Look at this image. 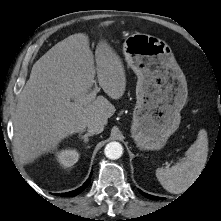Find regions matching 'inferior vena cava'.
Listing matches in <instances>:
<instances>
[{
  "instance_id": "1",
  "label": "inferior vena cava",
  "mask_w": 221,
  "mask_h": 221,
  "mask_svg": "<svg viewBox=\"0 0 221 221\" xmlns=\"http://www.w3.org/2000/svg\"><path fill=\"white\" fill-rule=\"evenodd\" d=\"M87 127L91 134H99L104 130V123L99 120H93L88 123Z\"/></svg>"
}]
</instances>
